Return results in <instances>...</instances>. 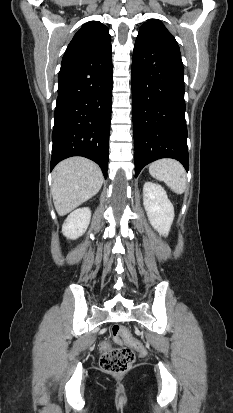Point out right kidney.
<instances>
[{"label": "right kidney", "instance_id": "1", "mask_svg": "<svg viewBox=\"0 0 233 413\" xmlns=\"http://www.w3.org/2000/svg\"><path fill=\"white\" fill-rule=\"evenodd\" d=\"M91 219V210L88 207L73 211L62 226V233L68 239H77L87 230Z\"/></svg>", "mask_w": 233, "mask_h": 413}]
</instances>
